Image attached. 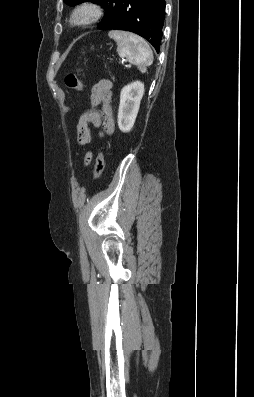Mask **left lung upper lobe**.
<instances>
[{"label":"left lung upper lobe","instance_id":"5c2ea615","mask_svg":"<svg viewBox=\"0 0 254 397\" xmlns=\"http://www.w3.org/2000/svg\"><path fill=\"white\" fill-rule=\"evenodd\" d=\"M85 1H91L93 3H96V4H99V5L103 6V7H106L110 0H64V2L66 4L71 5V6H73L75 4H78V3L85 2Z\"/></svg>","mask_w":254,"mask_h":397}]
</instances>
